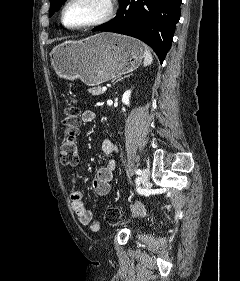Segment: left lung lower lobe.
I'll use <instances>...</instances> for the list:
<instances>
[{"label":"left lung lower lobe","instance_id":"1","mask_svg":"<svg viewBox=\"0 0 240 281\" xmlns=\"http://www.w3.org/2000/svg\"><path fill=\"white\" fill-rule=\"evenodd\" d=\"M182 0H119L115 18L92 29L132 36L148 44L160 62L170 50Z\"/></svg>","mask_w":240,"mask_h":281}]
</instances>
